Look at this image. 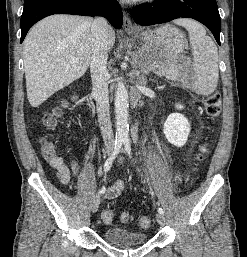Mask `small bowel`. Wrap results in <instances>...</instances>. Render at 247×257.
Returning a JSON list of instances; mask_svg holds the SVG:
<instances>
[{"instance_id": "small-bowel-1", "label": "small bowel", "mask_w": 247, "mask_h": 257, "mask_svg": "<svg viewBox=\"0 0 247 257\" xmlns=\"http://www.w3.org/2000/svg\"><path fill=\"white\" fill-rule=\"evenodd\" d=\"M69 154L72 157L71 170L63 162L61 157L55 155L52 158H48L49 164L57 171V176L60 182L67 185L70 182L71 171L74 175L78 174V162L75 159L74 153L69 149ZM124 190V183L121 180L116 181L112 186L105 189V199L111 200L118 197Z\"/></svg>"}]
</instances>
